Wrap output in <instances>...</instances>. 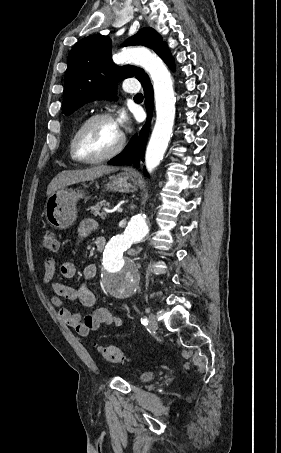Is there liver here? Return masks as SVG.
<instances>
[{"label": "liver", "mask_w": 281, "mask_h": 453, "mask_svg": "<svg viewBox=\"0 0 281 453\" xmlns=\"http://www.w3.org/2000/svg\"><path fill=\"white\" fill-rule=\"evenodd\" d=\"M119 170L118 166H107V164H100V166H92V168H84V170H62L58 172L51 182L48 184L47 196H50L54 190L64 188L68 184H75V182H84V180H94L108 172H115Z\"/></svg>", "instance_id": "1"}]
</instances>
